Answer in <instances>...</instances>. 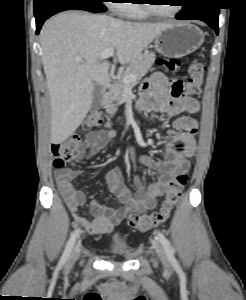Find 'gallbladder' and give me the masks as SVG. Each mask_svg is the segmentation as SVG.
I'll return each instance as SVG.
<instances>
[{"mask_svg": "<svg viewBox=\"0 0 246 300\" xmlns=\"http://www.w3.org/2000/svg\"><path fill=\"white\" fill-rule=\"evenodd\" d=\"M102 101V92H101V86L94 82L93 83V100L91 104V110L97 111L101 106Z\"/></svg>", "mask_w": 246, "mask_h": 300, "instance_id": "obj_1", "label": "gallbladder"}]
</instances>
